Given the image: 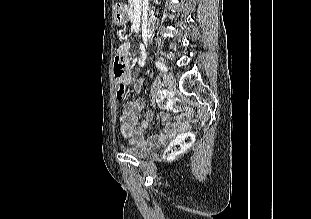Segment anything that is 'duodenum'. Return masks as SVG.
<instances>
[{
	"mask_svg": "<svg viewBox=\"0 0 311 219\" xmlns=\"http://www.w3.org/2000/svg\"><path fill=\"white\" fill-rule=\"evenodd\" d=\"M123 9V8H121ZM148 33H147V39L150 40L153 36L154 30H155V24L153 21H150L147 25Z\"/></svg>",
	"mask_w": 311,
	"mask_h": 219,
	"instance_id": "obj_1",
	"label": "duodenum"
}]
</instances>
